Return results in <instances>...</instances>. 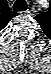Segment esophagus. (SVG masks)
<instances>
[{
	"mask_svg": "<svg viewBox=\"0 0 51 74\" xmlns=\"http://www.w3.org/2000/svg\"><path fill=\"white\" fill-rule=\"evenodd\" d=\"M26 13L30 14V13H31V11H30V10H28Z\"/></svg>",
	"mask_w": 51,
	"mask_h": 74,
	"instance_id": "esophagus-1",
	"label": "esophagus"
}]
</instances>
